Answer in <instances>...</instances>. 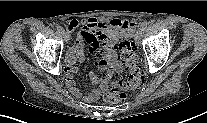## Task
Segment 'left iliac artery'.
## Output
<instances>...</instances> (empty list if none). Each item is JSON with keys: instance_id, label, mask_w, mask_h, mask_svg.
<instances>
[{"instance_id": "left-iliac-artery-1", "label": "left iliac artery", "mask_w": 207, "mask_h": 123, "mask_svg": "<svg viewBox=\"0 0 207 123\" xmlns=\"http://www.w3.org/2000/svg\"><path fill=\"white\" fill-rule=\"evenodd\" d=\"M147 25H148L147 21L142 22V24H141L142 30L146 29Z\"/></svg>"}]
</instances>
